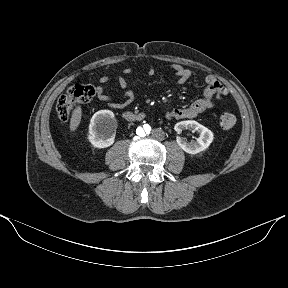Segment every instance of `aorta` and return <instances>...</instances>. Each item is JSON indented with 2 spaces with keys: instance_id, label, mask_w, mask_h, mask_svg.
<instances>
[{
  "instance_id": "obj_1",
  "label": "aorta",
  "mask_w": 288,
  "mask_h": 288,
  "mask_svg": "<svg viewBox=\"0 0 288 288\" xmlns=\"http://www.w3.org/2000/svg\"><path fill=\"white\" fill-rule=\"evenodd\" d=\"M153 127L150 124H143L137 128V135L140 138H147L151 136Z\"/></svg>"
}]
</instances>
